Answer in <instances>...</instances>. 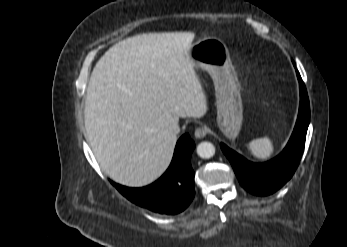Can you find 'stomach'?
Segmentation results:
<instances>
[{
	"label": "stomach",
	"mask_w": 347,
	"mask_h": 247,
	"mask_svg": "<svg viewBox=\"0 0 347 247\" xmlns=\"http://www.w3.org/2000/svg\"><path fill=\"white\" fill-rule=\"evenodd\" d=\"M188 55L194 66L210 74L215 87L218 127L234 140L241 130L243 104L228 48L220 39L208 37L192 44Z\"/></svg>",
	"instance_id": "obj_1"
}]
</instances>
